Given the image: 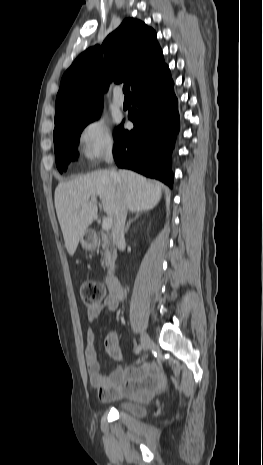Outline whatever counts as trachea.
I'll return each mask as SVG.
<instances>
[{
  "instance_id": "3493384b",
  "label": "trachea",
  "mask_w": 263,
  "mask_h": 465,
  "mask_svg": "<svg viewBox=\"0 0 263 465\" xmlns=\"http://www.w3.org/2000/svg\"><path fill=\"white\" fill-rule=\"evenodd\" d=\"M123 92L125 94V96H131V93H130V86L129 85H124L123 86Z\"/></svg>"
}]
</instances>
